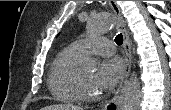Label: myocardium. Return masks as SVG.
I'll list each match as a JSON object with an SVG mask.
<instances>
[{"mask_svg": "<svg viewBox=\"0 0 171 110\" xmlns=\"http://www.w3.org/2000/svg\"><path fill=\"white\" fill-rule=\"evenodd\" d=\"M73 86L77 95L83 101H96L101 98L100 93L91 92L86 88V86L83 84L81 80L79 70L77 69L73 75Z\"/></svg>", "mask_w": 171, "mask_h": 110, "instance_id": "1", "label": "myocardium"}]
</instances>
